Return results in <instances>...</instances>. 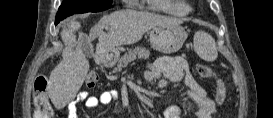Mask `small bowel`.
<instances>
[{
	"mask_svg": "<svg viewBox=\"0 0 273 118\" xmlns=\"http://www.w3.org/2000/svg\"><path fill=\"white\" fill-rule=\"evenodd\" d=\"M162 78V79H161ZM161 79V80H160ZM145 80L153 83L159 80V86L167 82L185 84L184 95L195 107L197 118H212L216 112L213 100L208 96L205 89L195 80L190 72L188 62L182 57H161L157 59L145 75ZM118 94L111 90H105L98 95H89L87 92L79 93L68 104V117L77 118V104L84 102L86 108L93 109L100 105L109 104ZM121 105H118V110ZM163 118H181V111L177 106H170L163 112Z\"/></svg>",
	"mask_w": 273,
	"mask_h": 118,
	"instance_id": "c3829d8e",
	"label": "small bowel"
}]
</instances>
